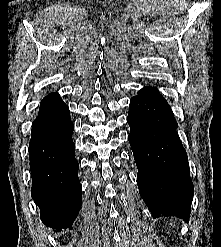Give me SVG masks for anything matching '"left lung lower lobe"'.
Listing matches in <instances>:
<instances>
[{"instance_id":"obj_1","label":"left lung lower lobe","mask_w":221,"mask_h":247,"mask_svg":"<svg viewBox=\"0 0 221 247\" xmlns=\"http://www.w3.org/2000/svg\"><path fill=\"white\" fill-rule=\"evenodd\" d=\"M128 136L139 169L137 185L153 218L189 220L194 188L177 122L164 98L143 90L131 98Z\"/></svg>"}]
</instances>
